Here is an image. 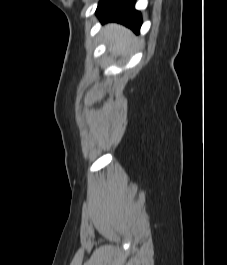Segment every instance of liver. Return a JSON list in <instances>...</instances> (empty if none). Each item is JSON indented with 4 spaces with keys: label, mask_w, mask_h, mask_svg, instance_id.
<instances>
[{
    "label": "liver",
    "mask_w": 227,
    "mask_h": 265,
    "mask_svg": "<svg viewBox=\"0 0 227 265\" xmlns=\"http://www.w3.org/2000/svg\"><path fill=\"white\" fill-rule=\"evenodd\" d=\"M103 34L110 42V51L117 54L129 52L137 42L129 29L115 23L106 25Z\"/></svg>",
    "instance_id": "obj_1"
}]
</instances>
